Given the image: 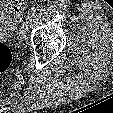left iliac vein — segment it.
I'll return each instance as SVG.
<instances>
[{
	"mask_svg": "<svg viewBox=\"0 0 113 113\" xmlns=\"http://www.w3.org/2000/svg\"><path fill=\"white\" fill-rule=\"evenodd\" d=\"M26 20H27V21L29 20V19H28V14H27V16H26ZM27 21H25V22L21 25V27H20L19 34H20L21 38H25L26 35H27V33H28V31H29V25H28V22H27Z\"/></svg>",
	"mask_w": 113,
	"mask_h": 113,
	"instance_id": "obj_1",
	"label": "left iliac vein"
}]
</instances>
